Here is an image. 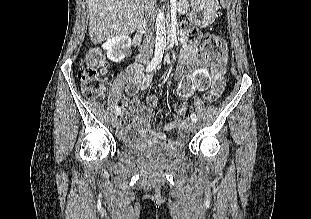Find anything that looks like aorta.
Masks as SVG:
<instances>
[{
    "mask_svg": "<svg viewBox=\"0 0 311 219\" xmlns=\"http://www.w3.org/2000/svg\"><path fill=\"white\" fill-rule=\"evenodd\" d=\"M155 45L157 49L166 48V26L164 13L159 11L156 18V38Z\"/></svg>",
    "mask_w": 311,
    "mask_h": 219,
    "instance_id": "obj_1",
    "label": "aorta"
}]
</instances>
